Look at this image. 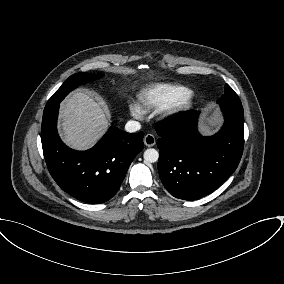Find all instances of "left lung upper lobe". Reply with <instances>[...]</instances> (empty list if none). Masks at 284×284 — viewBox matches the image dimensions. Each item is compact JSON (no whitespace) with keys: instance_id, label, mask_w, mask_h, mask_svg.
Returning <instances> with one entry per match:
<instances>
[{"instance_id":"obj_1","label":"left lung upper lobe","mask_w":284,"mask_h":284,"mask_svg":"<svg viewBox=\"0 0 284 284\" xmlns=\"http://www.w3.org/2000/svg\"><path fill=\"white\" fill-rule=\"evenodd\" d=\"M224 92L225 93L217 100V103L242 107V103L238 95L228 84L225 85Z\"/></svg>"}]
</instances>
